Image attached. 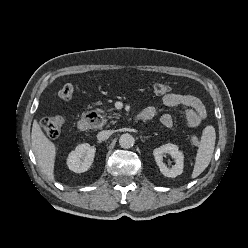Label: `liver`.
I'll return each instance as SVG.
<instances>
[{
  "mask_svg": "<svg viewBox=\"0 0 248 248\" xmlns=\"http://www.w3.org/2000/svg\"><path fill=\"white\" fill-rule=\"evenodd\" d=\"M31 142L39 167L48 179L53 181L56 147L43 133L37 120L33 122Z\"/></svg>",
  "mask_w": 248,
  "mask_h": 248,
  "instance_id": "liver-1",
  "label": "liver"
}]
</instances>
